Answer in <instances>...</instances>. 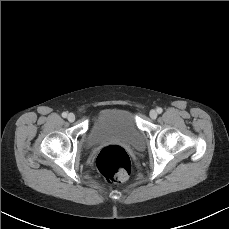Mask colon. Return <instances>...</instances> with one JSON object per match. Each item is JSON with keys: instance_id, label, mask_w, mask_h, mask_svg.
Returning <instances> with one entry per match:
<instances>
[{"instance_id": "5ec220e1", "label": "colon", "mask_w": 229, "mask_h": 229, "mask_svg": "<svg viewBox=\"0 0 229 229\" xmlns=\"http://www.w3.org/2000/svg\"><path fill=\"white\" fill-rule=\"evenodd\" d=\"M96 165L102 177L115 182L125 180L131 170L129 155L118 145L102 148L97 155Z\"/></svg>"}]
</instances>
